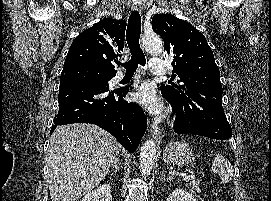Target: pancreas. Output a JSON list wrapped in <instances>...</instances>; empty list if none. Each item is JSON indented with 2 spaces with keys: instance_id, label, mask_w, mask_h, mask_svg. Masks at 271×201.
<instances>
[{
  "instance_id": "pancreas-1",
  "label": "pancreas",
  "mask_w": 271,
  "mask_h": 201,
  "mask_svg": "<svg viewBox=\"0 0 271 201\" xmlns=\"http://www.w3.org/2000/svg\"><path fill=\"white\" fill-rule=\"evenodd\" d=\"M200 182L199 181H191L190 186H192V189H194L197 192H201V189L199 188Z\"/></svg>"
}]
</instances>
